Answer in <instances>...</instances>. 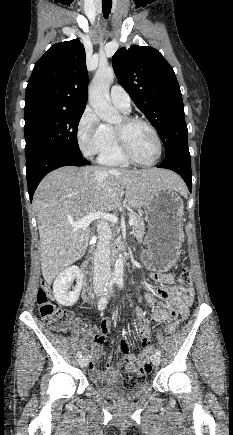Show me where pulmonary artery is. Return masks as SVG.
<instances>
[{
	"label": "pulmonary artery",
	"instance_id": "obj_1",
	"mask_svg": "<svg viewBox=\"0 0 233 435\" xmlns=\"http://www.w3.org/2000/svg\"><path fill=\"white\" fill-rule=\"evenodd\" d=\"M111 102L123 112H130L131 99L129 94L119 85H114L110 90Z\"/></svg>",
	"mask_w": 233,
	"mask_h": 435
}]
</instances>
